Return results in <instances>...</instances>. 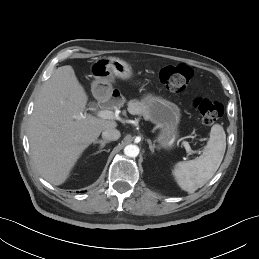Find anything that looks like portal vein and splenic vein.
Wrapping results in <instances>:
<instances>
[{"label": "portal vein and splenic vein", "instance_id": "18ae733b", "mask_svg": "<svg viewBox=\"0 0 259 259\" xmlns=\"http://www.w3.org/2000/svg\"><path fill=\"white\" fill-rule=\"evenodd\" d=\"M97 116L99 118H102V119H109V120H113L115 119V115H114V112L110 111V110H101L97 113ZM183 145L185 147V150L188 154H192V153H198L200 151H193L189 145L188 142L184 141L183 142Z\"/></svg>", "mask_w": 259, "mask_h": 259}]
</instances>
